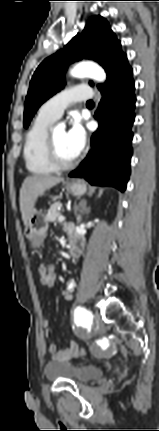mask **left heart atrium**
<instances>
[{"instance_id": "obj_1", "label": "left heart atrium", "mask_w": 159, "mask_h": 431, "mask_svg": "<svg viewBox=\"0 0 159 431\" xmlns=\"http://www.w3.org/2000/svg\"><path fill=\"white\" fill-rule=\"evenodd\" d=\"M69 150L77 157L84 148L86 133L78 120L73 121L65 135Z\"/></svg>"}]
</instances>
